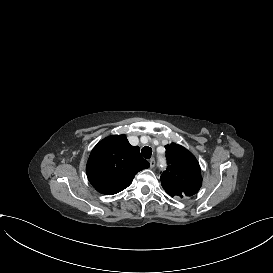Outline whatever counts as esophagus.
Instances as JSON below:
<instances>
[{
	"mask_svg": "<svg viewBox=\"0 0 273 273\" xmlns=\"http://www.w3.org/2000/svg\"><path fill=\"white\" fill-rule=\"evenodd\" d=\"M149 163H150V167L153 168L155 166V163H156L155 159L151 158L150 161H149Z\"/></svg>",
	"mask_w": 273,
	"mask_h": 273,
	"instance_id": "34e87169",
	"label": "esophagus"
}]
</instances>
